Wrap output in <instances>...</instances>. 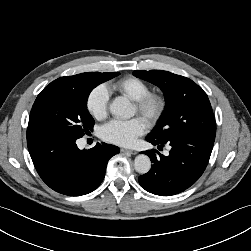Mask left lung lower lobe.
<instances>
[{"instance_id":"0a47b994","label":"left lung lower lobe","mask_w":251,"mask_h":251,"mask_svg":"<svg viewBox=\"0 0 251 251\" xmlns=\"http://www.w3.org/2000/svg\"><path fill=\"white\" fill-rule=\"evenodd\" d=\"M216 133L183 134L164 143L146 137L153 145L169 144L171 150L164 156L156 150L143 151L153 165L148 173L138 178L148 192L170 196L192 186L203 174L215 141Z\"/></svg>"}]
</instances>
